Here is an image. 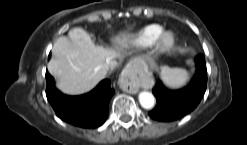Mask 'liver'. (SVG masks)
Segmentation results:
<instances>
[{
    "label": "liver",
    "instance_id": "obj_1",
    "mask_svg": "<svg viewBox=\"0 0 247 145\" xmlns=\"http://www.w3.org/2000/svg\"><path fill=\"white\" fill-rule=\"evenodd\" d=\"M69 37H59L53 45V58L48 63L49 73L56 77L57 88L65 94L78 95L90 91L104 77L102 68L109 63L113 69L120 53L96 46L90 35L81 28L69 31ZM126 46L127 39L117 38Z\"/></svg>",
    "mask_w": 247,
    "mask_h": 145
}]
</instances>
